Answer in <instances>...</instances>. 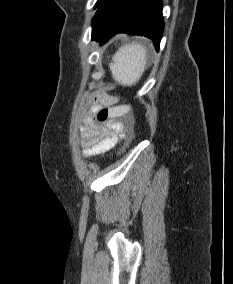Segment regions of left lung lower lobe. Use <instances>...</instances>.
<instances>
[{"mask_svg":"<svg viewBox=\"0 0 233 284\" xmlns=\"http://www.w3.org/2000/svg\"><path fill=\"white\" fill-rule=\"evenodd\" d=\"M164 29L160 0H103L92 23V40L104 44L118 33L145 36L159 49Z\"/></svg>","mask_w":233,"mask_h":284,"instance_id":"left-lung-lower-lobe-1","label":"left lung lower lobe"}]
</instances>
